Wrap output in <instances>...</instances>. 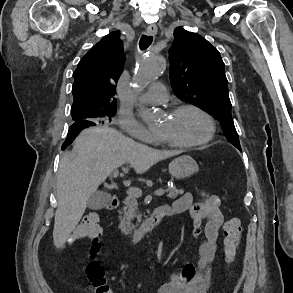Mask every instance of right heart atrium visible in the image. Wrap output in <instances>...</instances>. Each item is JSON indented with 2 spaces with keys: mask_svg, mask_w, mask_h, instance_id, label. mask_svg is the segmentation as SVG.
<instances>
[{
  "mask_svg": "<svg viewBox=\"0 0 293 293\" xmlns=\"http://www.w3.org/2000/svg\"><path fill=\"white\" fill-rule=\"evenodd\" d=\"M117 124L120 129L135 139L146 143H152L156 140V136L142 126L128 111L121 110L119 112Z\"/></svg>",
  "mask_w": 293,
  "mask_h": 293,
  "instance_id": "right-heart-atrium-1",
  "label": "right heart atrium"
}]
</instances>
